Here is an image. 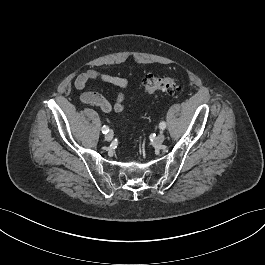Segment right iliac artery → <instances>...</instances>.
<instances>
[{
    "instance_id": "1",
    "label": "right iliac artery",
    "mask_w": 265,
    "mask_h": 265,
    "mask_svg": "<svg viewBox=\"0 0 265 265\" xmlns=\"http://www.w3.org/2000/svg\"><path fill=\"white\" fill-rule=\"evenodd\" d=\"M108 131H109V127L106 126V125H104V126L102 127V133H103V134H107Z\"/></svg>"
}]
</instances>
